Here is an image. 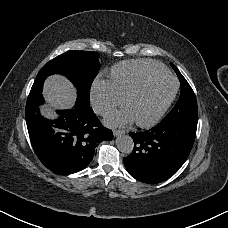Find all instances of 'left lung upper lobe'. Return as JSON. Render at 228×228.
<instances>
[{
	"label": "left lung upper lobe",
	"mask_w": 228,
	"mask_h": 228,
	"mask_svg": "<svg viewBox=\"0 0 228 228\" xmlns=\"http://www.w3.org/2000/svg\"><path fill=\"white\" fill-rule=\"evenodd\" d=\"M171 66L179 77L181 83V93L175 107L158 125L163 127L191 126L197 128L198 110L195 94L177 67L173 64H171Z\"/></svg>",
	"instance_id": "obj_1"
}]
</instances>
